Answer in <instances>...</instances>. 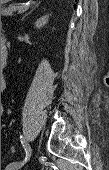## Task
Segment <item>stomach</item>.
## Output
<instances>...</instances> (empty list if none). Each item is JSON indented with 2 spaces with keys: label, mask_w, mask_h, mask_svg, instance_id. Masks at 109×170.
I'll list each match as a JSON object with an SVG mask.
<instances>
[{
  "label": "stomach",
  "mask_w": 109,
  "mask_h": 170,
  "mask_svg": "<svg viewBox=\"0 0 109 170\" xmlns=\"http://www.w3.org/2000/svg\"><path fill=\"white\" fill-rule=\"evenodd\" d=\"M10 1H12V0H1V5H4V4H6V3L10 2Z\"/></svg>",
  "instance_id": "obj_1"
}]
</instances>
